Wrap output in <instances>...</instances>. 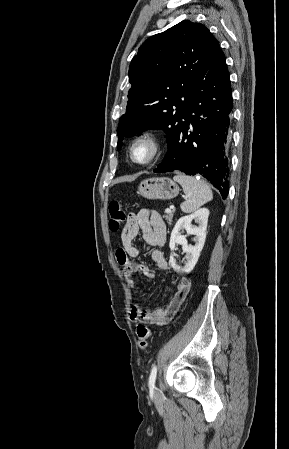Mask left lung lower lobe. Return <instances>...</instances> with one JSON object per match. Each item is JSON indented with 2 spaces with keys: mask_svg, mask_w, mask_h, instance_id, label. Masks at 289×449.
Listing matches in <instances>:
<instances>
[{
  "mask_svg": "<svg viewBox=\"0 0 289 449\" xmlns=\"http://www.w3.org/2000/svg\"><path fill=\"white\" fill-rule=\"evenodd\" d=\"M232 91L225 55L219 49L196 81L168 152L154 172L180 170L211 181L222 198L229 191L227 148Z\"/></svg>",
  "mask_w": 289,
  "mask_h": 449,
  "instance_id": "obj_1",
  "label": "left lung lower lobe"
}]
</instances>
